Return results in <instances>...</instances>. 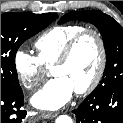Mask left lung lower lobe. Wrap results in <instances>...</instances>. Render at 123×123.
<instances>
[{
    "instance_id": "0a47b994",
    "label": "left lung lower lobe",
    "mask_w": 123,
    "mask_h": 123,
    "mask_svg": "<svg viewBox=\"0 0 123 123\" xmlns=\"http://www.w3.org/2000/svg\"><path fill=\"white\" fill-rule=\"evenodd\" d=\"M73 113L76 123H123V88L92 92Z\"/></svg>"
}]
</instances>
